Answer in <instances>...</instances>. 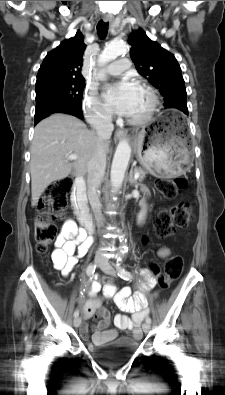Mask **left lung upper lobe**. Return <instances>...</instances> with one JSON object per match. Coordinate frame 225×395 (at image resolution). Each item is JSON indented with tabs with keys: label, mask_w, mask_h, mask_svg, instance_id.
<instances>
[{
	"label": "left lung upper lobe",
	"mask_w": 225,
	"mask_h": 395,
	"mask_svg": "<svg viewBox=\"0 0 225 395\" xmlns=\"http://www.w3.org/2000/svg\"><path fill=\"white\" fill-rule=\"evenodd\" d=\"M128 43L137 71L160 91L165 108H176L188 115L185 82L174 55L150 40L142 29L133 31Z\"/></svg>",
	"instance_id": "5c2ea615"
}]
</instances>
